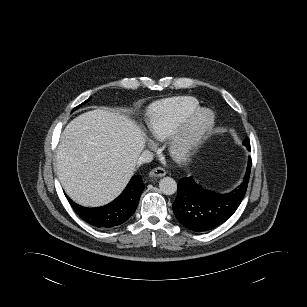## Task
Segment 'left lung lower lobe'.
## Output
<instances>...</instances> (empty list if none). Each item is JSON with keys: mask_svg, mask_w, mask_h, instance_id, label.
Returning <instances> with one entry per match:
<instances>
[{"mask_svg": "<svg viewBox=\"0 0 307 307\" xmlns=\"http://www.w3.org/2000/svg\"><path fill=\"white\" fill-rule=\"evenodd\" d=\"M250 168L251 157L241 185L226 194L205 190L191 177L180 179L177 197L173 203V211L178 221L195 232L212 230L223 224L234 214L244 198Z\"/></svg>", "mask_w": 307, "mask_h": 307, "instance_id": "0a47b994", "label": "left lung lower lobe"}]
</instances>
